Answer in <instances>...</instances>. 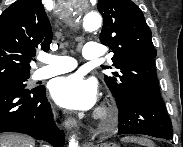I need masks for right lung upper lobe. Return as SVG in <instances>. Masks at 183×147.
Segmentation results:
<instances>
[{
	"mask_svg": "<svg viewBox=\"0 0 183 147\" xmlns=\"http://www.w3.org/2000/svg\"><path fill=\"white\" fill-rule=\"evenodd\" d=\"M52 29L40 0H17L0 15V81L30 76L36 49L49 50Z\"/></svg>",
	"mask_w": 183,
	"mask_h": 147,
	"instance_id": "1",
	"label": "right lung upper lobe"
}]
</instances>
